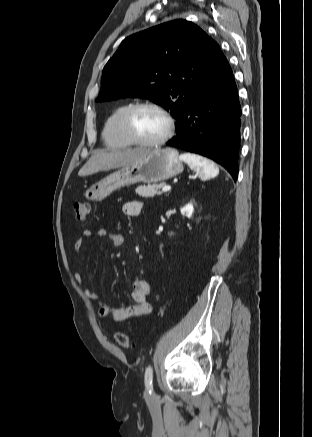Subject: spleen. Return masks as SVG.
Wrapping results in <instances>:
<instances>
[{"label":"spleen","mask_w":312,"mask_h":437,"mask_svg":"<svg viewBox=\"0 0 312 437\" xmlns=\"http://www.w3.org/2000/svg\"><path fill=\"white\" fill-rule=\"evenodd\" d=\"M179 158L186 162L202 180L214 178L219 174V168L207 158L192 153H183Z\"/></svg>","instance_id":"obj_1"}]
</instances>
